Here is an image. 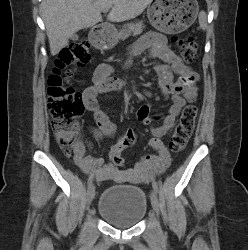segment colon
<instances>
[{
    "label": "colon",
    "mask_w": 248,
    "mask_h": 250,
    "mask_svg": "<svg viewBox=\"0 0 248 250\" xmlns=\"http://www.w3.org/2000/svg\"><path fill=\"white\" fill-rule=\"evenodd\" d=\"M182 58L193 63L197 59V45L190 38H174ZM91 59L90 46L86 40L74 42L64 48L48 77V106L52 118V127L57 141L66 156H71L77 138L76 120L85 111L81 94L73 89L63 72L70 66H83ZM197 107L194 103L186 105L171 138L170 147L179 152L184 149L195 127ZM128 138H122L111 148V162L122 166L121 152L132 146Z\"/></svg>",
    "instance_id": "colon-1"
}]
</instances>
